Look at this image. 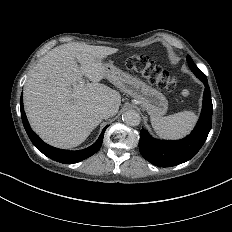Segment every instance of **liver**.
<instances>
[{"label": "liver", "mask_w": 232, "mask_h": 232, "mask_svg": "<svg viewBox=\"0 0 232 232\" xmlns=\"http://www.w3.org/2000/svg\"><path fill=\"white\" fill-rule=\"evenodd\" d=\"M117 51L67 43L39 60L24 87V108L32 129L46 143L64 149L76 147L101 123L99 107L118 112L120 93L99 83L105 77L102 59ZM83 76L92 82L80 85Z\"/></svg>", "instance_id": "obj_1"}]
</instances>
